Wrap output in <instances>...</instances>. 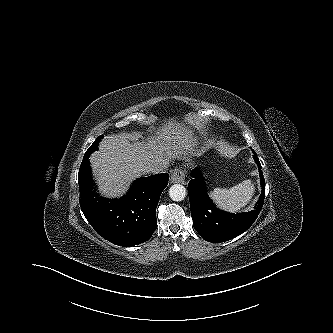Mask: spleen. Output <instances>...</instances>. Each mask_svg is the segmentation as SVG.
<instances>
[{
	"label": "spleen",
	"mask_w": 333,
	"mask_h": 333,
	"mask_svg": "<svg viewBox=\"0 0 333 333\" xmlns=\"http://www.w3.org/2000/svg\"><path fill=\"white\" fill-rule=\"evenodd\" d=\"M253 194L254 184L250 180H245L230 189L215 188L210 191V196L218 207L233 213L245 207Z\"/></svg>",
	"instance_id": "1"
}]
</instances>
